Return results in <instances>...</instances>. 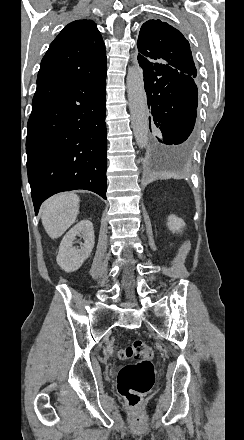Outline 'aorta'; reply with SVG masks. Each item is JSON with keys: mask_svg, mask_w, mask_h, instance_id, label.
<instances>
[{"mask_svg": "<svg viewBox=\"0 0 244 440\" xmlns=\"http://www.w3.org/2000/svg\"><path fill=\"white\" fill-rule=\"evenodd\" d=\"M127 96L131 125L139 147L144 148L148 141L147 96L144 90L143 75L139 66H131L126 78Z\"/></svg>", "mask_w": 244, "mask_h": 440, "instance_id": "762f6f07", "label": "aorta"}]
</instances>
